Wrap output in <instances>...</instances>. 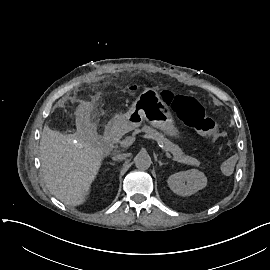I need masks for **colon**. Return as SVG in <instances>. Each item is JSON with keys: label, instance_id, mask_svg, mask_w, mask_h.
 <instances>
[{"label": "colon", "instance_id": "obj_1", "mask_svg": "<svg viewBox=\"0 0 270 270\" xmlns=\"http://www.w3.org/2000/svg\"><path fill=\"white\" fill-rule=\"evenodd\" d=\"M160 97L184 124L209 136L214 142L220 139V133L216 129L214 120L204 114L201 104L194 97L171 90L161 91ZM220 169L225 176H230L234 172L235 163L231 159H225L220 164Z\"/></svg>", "mask_w": 270, "mask_h": 270}]
</instances>
